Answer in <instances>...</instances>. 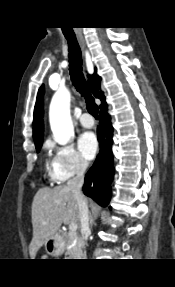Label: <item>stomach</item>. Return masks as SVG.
<instances>
[{"mask_svg":"<svg viewBox=\"0 0 175 287\" xmlns=\"http://www.w3.org/2000/svg\"><path fill=\"white\" fill-rule=\"evenodd\" d=\"M44 246L49 255L58 256L62 254L65 249V240L59 233H55L47 239Z\"/></svg>","mask_w":175,"mask_h":287,"instance_id":"obj_1","label":"stomach"}]
</instances>
